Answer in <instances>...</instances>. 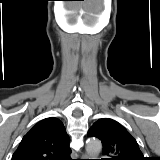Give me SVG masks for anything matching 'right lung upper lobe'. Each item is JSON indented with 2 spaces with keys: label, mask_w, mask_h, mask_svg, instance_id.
<instances>
[{
  "label": "right lung upper lobe",
  "mask_w": 160,
  "mask_h": 160,
  "mask_svg": "<svg viewBox=\"0 0 160 160\" xmlns=\"http://www.w3.org/2000/svg\"><path fill=\"white\" fill-rule=\"evenodd\" d=\"M69 136L54 117L38 122L22 139L12 160H71Z\"/></svg>",
  "instance_id": "obj_1"
}]
</instances>
